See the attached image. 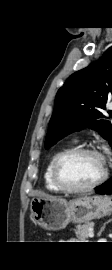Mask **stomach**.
<instances>
[{
    "instance_id": "stomach-1",
    "label": "stomach",
    "mask_w": 112,
    "mask_h": 270,
    "mask_svg": "<svg viewBox=\"0 0 112 270\" xmlns=\"http://www.w3.org/2000/svg\"><path fill=\"white\" fill-rule=\"evenodd\" d=\"M30 210L36 224L46 230H60L69 222L77 224L112 213V199L107 196H81L66 201L54 197L34 198Z\"/></svg>"
}]
</instances>
